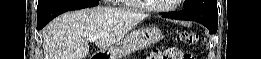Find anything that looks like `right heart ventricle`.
Returning <instances> with one entry per match:
<instances>
[{
  "mask_svg": "<svg viewBox=\"0 0 261 59\" xmlns=\"http://www.w3.org/2000/svg\"><path fill=\"white\" fill-rule=\"evenodd\" d=\"M118 2L124 3L126 5L138 8L135 4H133V2L131 0H118Z\"/></svg>",
  "mask_w": 261,
  "mask_h": 59,
  "instance_id": "1",
  "label": "right heart ventricle"
}]
</instances>
